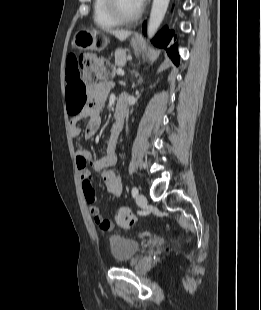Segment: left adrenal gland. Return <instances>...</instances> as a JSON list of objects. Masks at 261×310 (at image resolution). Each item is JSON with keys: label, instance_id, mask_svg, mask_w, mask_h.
Segmentation results:
<instances>
[{"label": "left adrenal gland", "instance_id": "obj_1", "mask_svg": "<svg viewBox=\"0 0 261 310\" xmlns=\"http://www.w3.org/2000/svg\"><path fill=\"white\" fill-rule=\"evenodd\" d=\"M142 82V79L139 80L138 84H140Z\"/></svg>", "mask_w": 261, "mask_h": 310}]
</instances>
